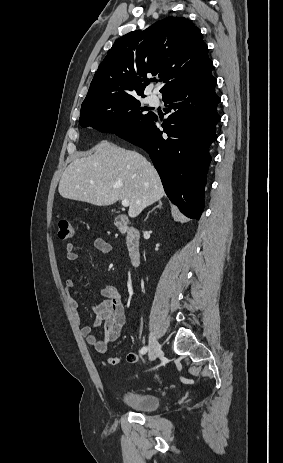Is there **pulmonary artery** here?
I'll return each instance as SVG.
<instances>
[{"label": "pulmonary artery", "instance_id": "obj_1", "mask_svg": "<svg viewBox=\"0 0 283 463\" xmlns=\"http://www.w3.org/2000/svg\"><path fill=\"white\" fill-rule=\"evenodd\" d=\"M148 103H149L150 105H152V106L158 105V104H159V98H158V96H156V95H154V94L151 95V96H149V98H148Z\"/></svg>", "mask_w": 283, "mask_h": 463}]
</instances>
